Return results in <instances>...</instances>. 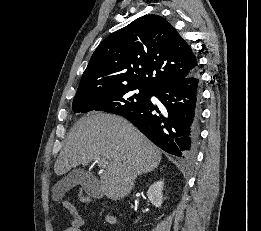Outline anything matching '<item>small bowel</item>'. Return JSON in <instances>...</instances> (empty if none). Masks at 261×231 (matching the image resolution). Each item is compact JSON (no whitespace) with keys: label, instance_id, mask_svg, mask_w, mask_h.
Returning a JSON list of instances; mask_svg holds the SVG:
<instances>
[{"label":"small bowel","instance_id":"1","mask_svg":"<svg viewBox=\"0 0 261 231\" xmlns=\"http://www.w3.org/2000/svg\"><path fill=\"white\" fill-rule=\"evenodd\" d=\"M63 209L72 216V222L69 227L64 229L63 231H82V227L84 226V220L78 213L74 204L67 198H63L60 201Z\"/></svg>","mask_w":261,"mask_h":231}]
</instances>
